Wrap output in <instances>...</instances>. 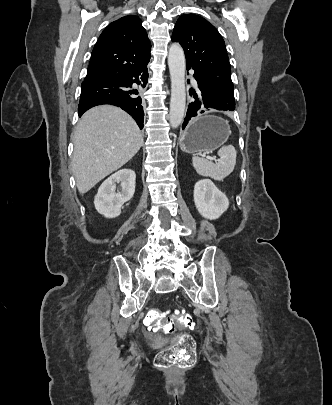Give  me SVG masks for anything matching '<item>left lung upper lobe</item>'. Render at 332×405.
<instances>
[{
    "mask_svg": "<svg viewBox=\"0 0 332 405\" xmlns=\"http://www.w3.org/2000/svg\"><path fill=\"white\" fill-rule=\"evenodd\" d=\"M186 55V67L193 69L212 101L222 109H235L231 67L225 43L217 29L194 14L179 17L172 34Z\"/></svg>",
    "mask_w": 332,
    "mask_h": 405,
    "instance_id": "1",
    "label": "left lung upper lobe"
}]
</instances>
